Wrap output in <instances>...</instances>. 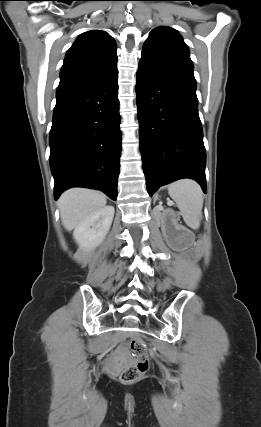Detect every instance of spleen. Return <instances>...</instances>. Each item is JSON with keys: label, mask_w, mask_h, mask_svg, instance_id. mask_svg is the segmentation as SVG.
<instances>
[{"label": "spleen", "mask_w": 261, "mask_h": 427, "mask_svg": "<svg viewBox=\"0 0 261 427\" xmlns=\"http://www.w3.org/2000/svg\"><path fill=\"white\" fill-rule=\"evenodd\" d=\"M168 193L176 202L187 226L197 230L203 208V194L199 184L190 179L179 180L169 185Z\"/></svg>", "instance_id": "3e777b00"}]
</instances>
